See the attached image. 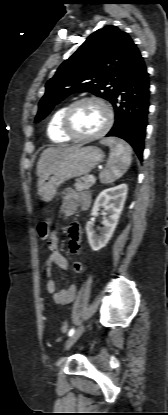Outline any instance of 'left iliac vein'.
Instances as JSON below:
<instances>
[{
    "label": "left iliac vein",
    "instance_id": "left-iliac-vein-1",
    "mask_svg": "<svg viewBox=\"0 0 168 415\" xmlns=\"http://www.w3.org/2000/svg\"><path fill=\"white\" fill-rule=\"evenodd\" d=\"M84 326L81 325L74 333L70 336V338L66 341L65 349H69L81 336L83 333Z\"/></svg>",
    "mask_w": 168,
    "mask_h": 415
}]
</instances>
